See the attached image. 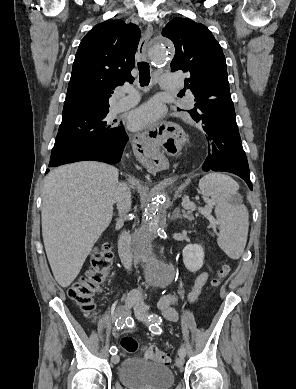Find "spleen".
Instances as JSON below:
<instances>
[{
  "label": "spleen",
  "mask_w": 296,
  "mask_h": 389,
  "mask_svg": "<svg viewBox=\"0 0 296 389\" xmlns=\"http://www.w3.org/2000/svg\"><path fill=\"white\" fill-rule=\"evenodd\" d=\"M199 188L216 205L219 247L231 259H239L246 246L249 228L248 210L241 199H237L239 185L228 175L209 173L199 181Z\"/></svg>",
  "instance_id": "1"
}]
</instances>
